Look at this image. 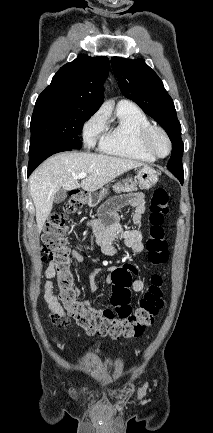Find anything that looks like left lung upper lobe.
<instances>
[{"label":"left lung upper lobe","instance_id":"left-lung-upper-lobe-1","mask_svg":"<svg viewBox=\"0 0 213 433\" xmlns=\"http://www.w3.org/2000/svg\"><path fill=\"white\" fill-rule=\"evenodd\" d=\"M111 65L122 94L137 103L165 129L173 144L167 168L175 177L184 178L181 125L177 119L173 100L165 90L161 79L143 59L128 60L113 57Z\"/></svg>","mask_w":213,"mask_h":433}]
</instances>
